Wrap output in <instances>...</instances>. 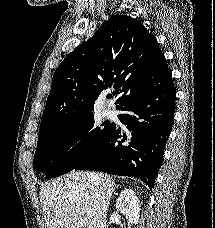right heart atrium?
Returning <instances> with one entry per match:
<instances>
[{
    "instance_id": "d8ad5b80",
    "label": "right heart atrium",
    "mask_w": 215,
    "mask_h": 228,
    "mask_svg": "<svg viewBox=\"0 0 215 228\" xmlns=\"http://www.w3.org/2000/svg\"><path fill=\"white\" fill-rule=\"evenodd\" d=\"M87 136V132H76L73 138L74 146H76V148H80L81 146H83L87 140Z\"/></svg>"
}]
</instances>
